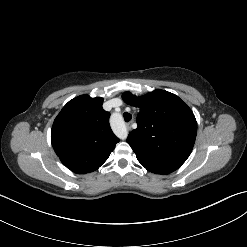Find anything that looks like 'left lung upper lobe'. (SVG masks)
Returning <instances> with one entry per match:
<instances>
[{"label":"left lung upper lobe","mask_w":247,"mask_h":247,"mask_svg":"<svg viewBox=\"0 0 247 247\" xmlns=\"http://www.w3.org/2000/svg\"><path fill=\"white\" fill-rule=\"evenodd\" d=\"M122 97L140 108L138 127L127 139L138 161L156 174L177 170L196 139L197 122L191 109L178 96L161 89L139 97L125 92Z\"/></svg>","instance_id":"left-lung-upper-lobe-1"}]
</instances>
